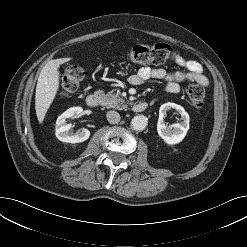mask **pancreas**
I'll return each instance as SVG.
<instances>
[{
	"label": "pancreas",
	"mask_w": 247,
	"mask_h": 247,
	"mask_svg": "<svg viewBox=\"0 0 247 247\" xmlns=\"http://www.w3.org/2000/svg\"><path fill=\"white\" fill-rule=\"evenodd\" d=\"M96 95L99 96L101 105L106 108H114L118 110H123L127 108V104L125 100L120 96L119 93H104L102 90H98L95 92Z\"/></svg>",
	"instance_id": "1"
}]
</instances>
